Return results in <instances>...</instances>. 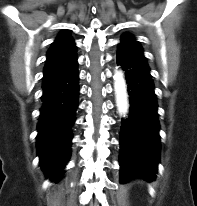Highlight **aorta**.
Wrapping results in <instances>:
<instances>
[{
  "mask_svg": "<svg viewBox=\"0 0 197 206\" xmlns=\"http://www.w3.org/2000/svg\"><path fill=\"white\" fill-rule=\"evenodd\" d=\"M114 89L116 94V103L120 115L125 116L128 111L127 93L125 81L121 71L116 70L114 74Z\"/></svg>",
  "mask_w": 197,
  "mask_h": 206,
  "instance_id": "762f6f07",
  "label": "aorta"
}]
</instances>
